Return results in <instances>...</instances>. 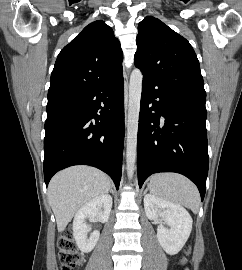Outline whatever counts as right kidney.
<instances>
[{
  "mask_svg": "<svg viewBox=\"0 0 242 270\" xmlns=\"http://www.w3.org/2000/svg\"><path fill=\"white\" fill-rule=\"evenodd\" d=\"M112 208V197L108 194L100 195L86 202L75 214L73 220V236L78 248L85 253L92 251L97 244L100 232L95 230L87 237L91 227L85 222L86 218L97 219L105 223L109 219Z\"/></svg>",
  "mask_w": 242,
  "mask_h": 270,
  "instance_id": "right-kidney-1",
  "label": "right kidney"
}]
</instances>
